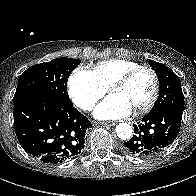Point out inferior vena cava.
<instances>
[{
  "instance_id": "1",
  "label": "inferior vena cava",
  "mask_w": 196,
  "mask_h": 196,
  "mask_svg": "<svg viewBox=\"0 0 196 196\" xmlns=\"http://www.w3.org/2000/svg\"><path fill=\"white\" fill-rule=\"evenodd\" d=\"M92 108H93V105H91V104H88V105H87V109H88V110H90V109H92Z\"/></svg>"
}]
</instances>
